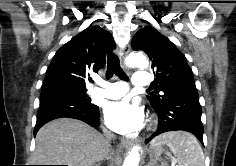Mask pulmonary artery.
<instances>
[{
	"label": "pulmonary artery",
	"instance_id": "1",
	"mask_svg": "<svg viewBox=\"0 0 236 166\" xmlns=\"http://www.w3.org/2000/svg\"><path fill=\"white\" fill-rule=\"evenodd\" d=\"M132 82L135 87L144 88L150 84L151 76L146 71H136ZM127 91V84L122 81H117L113 83H108L103 88L92 89L91 94L108 99H117L124 96Z\"/></svg>",
	"mask_w": 236,
	"mask_h": 166
}]
</instances>
